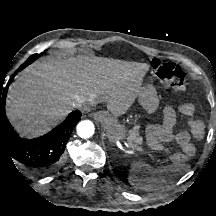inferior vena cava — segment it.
Masks as SVG:
<instances>
[{
	"label": "inferior vena cava",
	"mask_w": 216,
	"mask_h": 216,
	"mask_svg": "<svg viewBox=\"0 0 216 216\" xmlns=\"http://www.w3.org/2000/svg\"><path fill=\"white\" fill-rule=\"evenodd\" d=\"M73 106L82 112H86L90 110L93 103L91 99H87L86 97H77Z\"/></svg>",
	"instance_id": "602c4592"
}]
</instances>
